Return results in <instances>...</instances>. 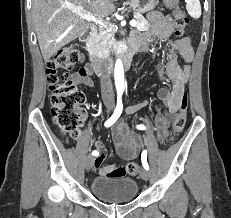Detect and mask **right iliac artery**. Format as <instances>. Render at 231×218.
<instances>
[{
  "instance_id": "right-iliac-artery-1",
  "label": "right iliac artery",
  "mask_w": 231,
  "mask_h": 218,
  "mask_svg": "<svg viewBox=\"0 0 231 218\" xmlns=\"http://www.w3.org/2000/svg\"><path fill=\"white\" fill-rule=\"evenodd\" d=\"M122 109H123V105H122V101H121V94H118L116 109H115L113 115L105 122V127H110L111 125H113L116 122V120L119 118V116L122 113ZM92 155L97 156L98 151L94 150L92 152Z\"/></svg>"
}]
</instances>
